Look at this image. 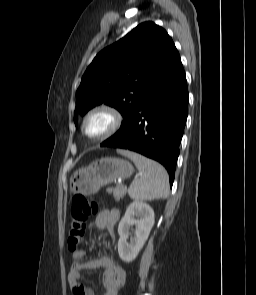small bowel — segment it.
<instances>
[{
    "mask_svg": "<svg viewBox=\"0 0 256 295\" xmlns=\"http://www.w3.org/2000/svg\"><path fill=\"white\" fill-rule=\"evenodd\" d=\"M119 218L120 212L117 209L103 210L90 223L89 229H106L113 234V228ZM85 256V250H78L73 254V262L71 263L67 277L73 295H94L92 289L81 284V272L98 268L103 269L102 284L105 289L104 295H117L119 288L126 279L124 268L108 257H98L82 262L81 260Z\"/></svg>",
    "mask_w": 256,
    "mask_h": 295,
    "instance_id": "small-bowel-1",
    "label": "small bowel"
}]
</instances>
